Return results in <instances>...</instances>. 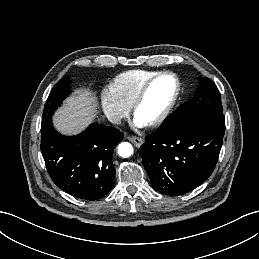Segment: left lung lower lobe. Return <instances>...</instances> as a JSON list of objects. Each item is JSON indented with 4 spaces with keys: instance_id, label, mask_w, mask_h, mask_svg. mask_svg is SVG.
Masks as SVG:
<instances>
[{
    "instance_id": "0a47b994",
    "label": "left lung lower lobe",
    "mask_w": 259,
    "mask_h": 259,
    "mask_svg": "<svg viewBox=\"0 0 259 259\" xmlns=\"http://www.w3.org/2000/svg\"><path fill=\"white\" fill-rule=\"evenodd\" d=\"M224 133L223 113L200 112L148 135L139 153L152 187L172 196L198 187L216 166Z\"/></svg>"
}]
</instances>
